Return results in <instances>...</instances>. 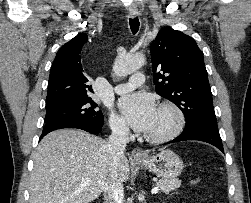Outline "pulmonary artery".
<instances>
[{
  "label": "pulmonary artery",
  "mask_w": 251,
  "mask_h": 203,
  "mask_svg": "<svg viewBox=\"0 0 251 203\" xmlns=\"http://www.w3.org/2000/svg\"><path fill=\"white\" fill-rule=\"evenodd\" d=\"M144 80H145V77H144L143 73H141V72L134 73V74L131 75L128 82L117 84L114 87V91L117 94H122V93L129 92V91L133 90L134 88H136V87L140 86L141 84H143Z\"/></svg>",
  "instance_id": "obj_1"
}]
</instances>
